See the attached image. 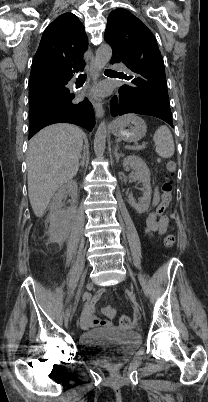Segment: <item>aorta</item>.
Instances as JSON below:
<instances>
[{"label": "aorta", "mask_w": 208, "mask_h": 402, "mask_svg": "<svg viewBox=\"0 0 208 402\" xmlns=\"http://www.w3.org/2000/svg\"><path fill=\"white\" fill-rule=\"evenodd\" d=\"M111 58H112V48H110L108 44H102V46L98 48L95 56L94 78H99L101 72H103L106 64H108ZM106 136H107V126L105 122H101L100 126H98V130L94 138V152L96 156H98V158H101V156H103L104 154L106 146Z\"/></svg>", "instance_id": "762f6f07"}]
</instances>
